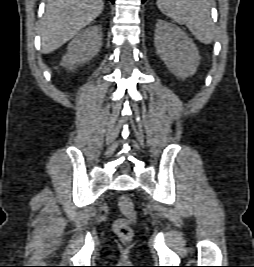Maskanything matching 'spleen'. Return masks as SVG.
<instances>
[{"mask_svg": "<svg viewBox=\"0 0 254 267\" xmlns=\"http://www.w3.org/2000/svg\"><path fill=\"white\" fill-rule=\"evenodd\" d=\"M157 6L176 23L186 25L200 42H213L215 26L207 0H157Z\"/></svg>", "mask_w": 254, "mask_h": 267, "instance_id": "spleen-1", "label": "spleen"}]
</instances>
